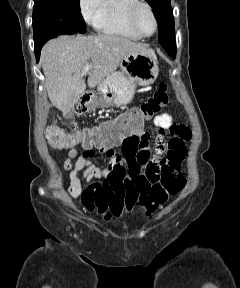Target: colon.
Returning <instances> with one entry per match:
<instances>
[{
    "label": "colon",
    "instance_id": "colon-1",
    "mask_svg": "<svg viewBox=\"0 0 240 288\" xmlns=\"http://www.w3.org/2000/svg\"><path fill=\"white\" fill-rule=\"evenodd\" d=\"M169 102L168 88L161 83L154 95L141 106L132 108L116 119L104 122L94 128L85 129L76 134H67L58 127H50L46 138L55 148H70L77 144L94 145L102 142H114L122 138L137 135L146 121L160 112ZM183 175L164 174L159 183L141 194L138 199L140 208L147 214L155 212L170 197L177 195L185 186Z\"/></svg>",
    "mask_w": 240,
    "mask_h": 288
}]
</instances>
